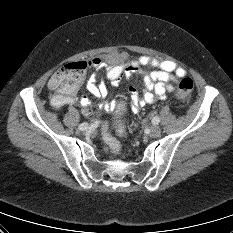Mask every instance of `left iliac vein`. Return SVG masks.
I'll return each instance as SVG.
<instances>
[{"instance_id": "1", "label": "left iliac vein", "mask_w": 233, "mask_h": 233, "mask_svg": "<svg viewBox=\"0 0 233 233\" xmlns=\"http://www.w3.org/2000/svg\"><path fill=\"white\" fill-rule=\"evenodd\" d=\"M161 134V129L157 125H153L150 127L149 135L150 137L156 138Z\"/></svg>"}]
</instances>
